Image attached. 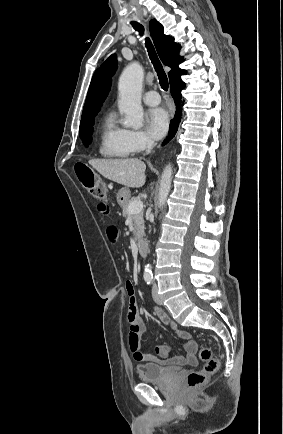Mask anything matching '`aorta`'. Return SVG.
I'll list each match as a JSON object with an SVG mask.
<instances>
[{"label":"aorta","mask_w":283,"mask_h":434,"mask_svg":"<svg viewBox=\"0 0 283 434\" xmlns=\"http://www.w3.org/2000/svg\"><path fill=\"white\" fill-rule=\"evenodd\" d=\"M144 70L138 62L130 63L122 72L119 83L118 107L124 113V126L140 129L143 125V109L141 105V94L143 85ZM172 181V166L167 165L162 173L158 207L163 208L169 195ZM145 275L151 274V266L145 265Z\"/></svg>","instance_id":"obj_1"}]
</instances>
